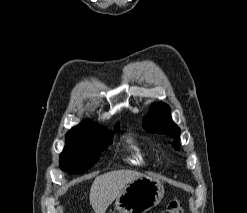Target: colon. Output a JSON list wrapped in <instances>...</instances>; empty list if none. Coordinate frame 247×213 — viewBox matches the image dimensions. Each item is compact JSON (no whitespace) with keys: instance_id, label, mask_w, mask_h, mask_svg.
Returning <instances> with one entry per match:
<instances>
[{"instance_id":"5ec220e1","label":"colon","mask_w":247,"mask_h":213,"mask_svg":"<svg viewBox=\"0 0 247 213\" xmlns=\"http://www.w3.org/2000/svg\"><path fill=\"white\" fill-rule=\"evenodd\" d=\"M164 213H183V209L180 202L174 199L168 203Z\"/></svg>"}]
</instances>
